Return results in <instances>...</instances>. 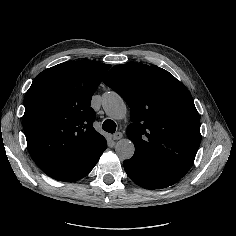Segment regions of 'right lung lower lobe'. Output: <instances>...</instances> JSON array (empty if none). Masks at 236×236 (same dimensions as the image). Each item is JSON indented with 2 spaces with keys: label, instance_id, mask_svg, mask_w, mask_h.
<instances>
[{
  "label": "right lung lower lobe",
  "instance_id": "1",
  "mask_svg": "<svg viewBox=\"0 0 236 236\" xmlns=\"http://www.w3.org/2000/svg\"><path fill=\"white\" fill-rule=\"evenodd\" d=\"M107 144L100 151L89 157L79 168H77L72 174H70L65 180L66 182H74L88 175L93 167L98 162L100 156L106 149Z\"/></svg>",
  "mask_w": 236,
  "mask_h": 236
}]
</instances>
